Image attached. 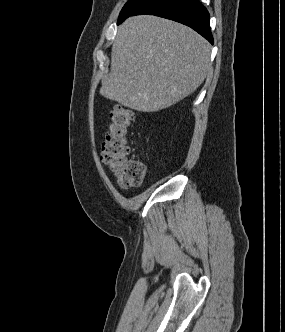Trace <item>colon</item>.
<instances>
[{
  "label": "colon",
  "instance_id": "5ec220e1",
  "mask_svg": "<svg viewBox=\"0 0 285 332\" xmlns=\"http://www.w3.org/2000/svg\"><path fill=\"white\" fill-rule=\"evenodd\" d=\"M135 120L130 108L117 105L110 113V121L101 149V160L123 188L140 185L146 175L145 164L130 158L128 133Z\"/></svg>",
  "mask_w": 285,
  "mask_h": 332
}]
</instances>
